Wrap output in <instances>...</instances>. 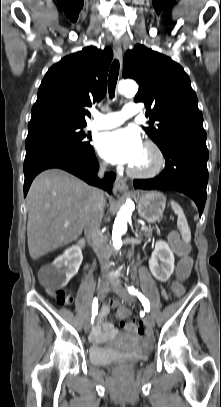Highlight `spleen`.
<instances>
[{
    "instance_id": "obj_1",
    "label": "spleen",
    "mask_w": 221,
    "mask_h": 407,
    "mask_svg": "<svg viewBox=\"0 0 221 407\" xmlns=\"http://www.w3.org/2000/svg\"><path fill=\"white\" fill-rule=\"evenodd\" d=\"M171 206L175 214L178 216L177 227L181 232L182 239L188 243L191 240V232L185 214L178 203L171 201Z\"/></svg>"
}]
</instances>
